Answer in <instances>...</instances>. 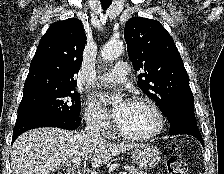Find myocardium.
I'll return each instance as SVG.
<instances>
[{
  "mask_svg": "<svg viewBox=\"0 0 224 174\" xmlns=\"http://www.w3.org/2000/svg\"><path fill=\"white\" fill-rule=\"evenodd\" d=\"M129 103H136V104H146L148 105L152 111L154 112L156 119H157V124L156 127L153 131L146 133V134H141V135H133V134H128L124 131H122L119 127H117V133L120 137L130 140V141H146L153 139L157 137L164 129L165 126V117L160 109V107L157 105V103L152 100L149 97L145 96H136L133 97Z\"/></svg>",
  "mask_w": 224,
  "mask_h": 174,
  "instance_id": "obj_1",
  "label": "myocardium"
}]
</instances>
